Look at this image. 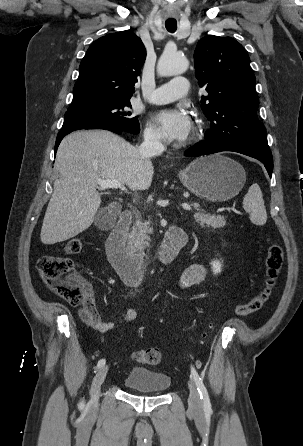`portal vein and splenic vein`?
I'll use <instances>...</instances> for the list:
<instances>
[{"instance_id": "portal-vein-and-splenic-vein-1", "label": "portal vein and splenic vein", "mask_w": 303, "mask_h": 446, "mask_svg": "<svg viewBox=\"0 0 303 446\" xmlns=\"http://www.w3.org/2000/svg\"><path fill=\"white\" fill-rule=\"evenodd\" d=\"M98 185L100 186V190L114 188L121 189L122 191H127L126 187L117 180H98ZM183 209L190 211L192 208L188 203L182 204Z\"/></svg>"}]
</instances>
